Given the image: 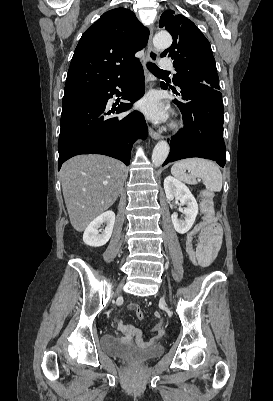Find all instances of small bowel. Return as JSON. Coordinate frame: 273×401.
Here are the masks:
<instances>
[{"label": "small bowel", "instance_id": "1", "mask_svg": "<svg viewBox=\"0 0 273 401\" xmlns=\"http://www.w3.org/2000/svg\"><path fill=\"white\" fill-rule=\"evenodd\" d=\"M200 228L201 226L198 225L194 230H192L187 234L186 237L187 252L189 254V251L193 250L200 265L210 266L219 251L221 241H201L199 236V245L197 246L196 249H194L193 246L194 236L199 231ZM135 306L136 303L133 302L128 304V308L132 310H135ZM154 317L160 318L161 312L155 311ZM118 329L120 332L125 334L124 337L122 338L124 345L128 349L132 350L142 347H153L155 346L159 336H165L167 334V329L165 327H159V328L156 327V331L158 332V337H156L151 343H146L141 339L140 332L135 326L120 322Z\"/></svg>", "mask_w": 273, "mask_h": 401}]
</instances>
